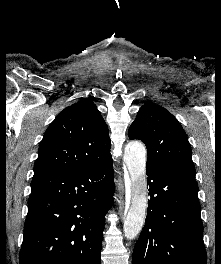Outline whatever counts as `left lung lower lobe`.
<instances>
[{"mask_svg":"<svg viewBox=\"0 0 221 264\" xmlns=\"http://www.w3.org/2000/svg\"><path fill=\"white\" fill-rule=\"evenodd\" d=\"M150 200L132 264H207L195 180L146 168Z\"/></svg>","mask_w":221,"mask_h":264,"instance_id":"left-lung-lower-lobe-1","label":"left lung lower lobe"}]
</instances>
